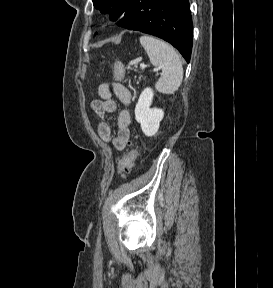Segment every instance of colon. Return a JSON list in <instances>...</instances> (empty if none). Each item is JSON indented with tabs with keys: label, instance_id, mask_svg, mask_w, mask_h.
Returning <instances> with one entry per match:
<instances>
[{
	"label": "colon",
	"instance_id": "obj_1",
	"mask_svg": "<svg viewBox=\"0 0 273 288\" xmlns=\"http://www.w3.org/2000/svg\"><path fill=\"white\" fill-rule=\"evenodd\" d=\"M113 76L115 80H122L124 77V67L122 63L116 62L114 64ZM137 156V151L134 148H130L126 151L117 161V173L120 176H125L126 173L132 168Z\"/></svg>",
	"mask_w": 273,
	"mask_h": 288
}]
</instances>
